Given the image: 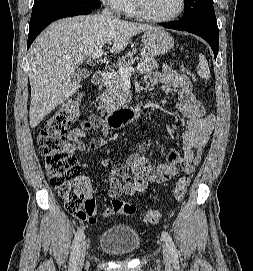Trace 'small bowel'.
<instances>
[{"label":"small bowel","instance_id":"small-bowel-1","mask_svg":"<svg viewBox=\"0 0 253 271\" xmlns=\"http://www.w3.org/2000/svg\"><path fill=\"white\" fill-rule=\"evenodd\" d=\"M146 84L149 88L164 84L178 89L180 101L176 104V109L187 119L182 138L183 155L179 156L176 150H171L166 163L153 164L143 155L150 149L151 141H144L140 145L138 154H132L124 163L112 167L108 195L113 199L122 194L132 196L144 191L149 182H164L178 172L192 175L194 167L201 161V153L214 130L215 118L212 114H207L202 103L194 95L190 75L176 72L165 66L161 72L149 74L146 77ZM89 131H99L103 134V137L91 139L89 142L91 149H98L107 143L108 127L102 122L87 119L68 133L66 152L73 154L84 151L86 148L84 140ZM101 214L103 217H110L114 213L111 207H106ZM91 216L93 220L96 219L95 208Z\"/></svg>","mask_w":253,"mask_h":271}]
</instances>
